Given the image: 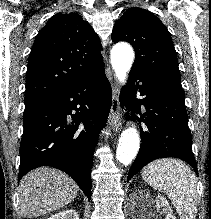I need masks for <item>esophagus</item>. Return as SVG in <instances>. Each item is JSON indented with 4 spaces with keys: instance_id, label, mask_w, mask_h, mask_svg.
<instances>
[{
    "instance_id": "esophagus-1",
    "label": "esophagus",
    "mask_w": 211,
    "mask_h": 219,
    "mask_svg": "<svg viewBox=\"0 0 211 219\" xmlns=\"http://www.w3.org/2000/svg\"><path fill=\"white\" fill-rule=\"evenodd\" d=\"M109 121L112 131L115 133L119 132L122 127V113L120 108L119 87L116 83L112 88V103Z\"/></svg>"
}]
</instances>
